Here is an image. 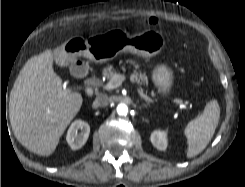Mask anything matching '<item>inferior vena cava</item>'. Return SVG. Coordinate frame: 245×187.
<instances>
[{
	"instance_id": "1",
	"label": "inferior vena cava",
	"mask_w": 245,
	"mask_h": 187,
	"mask_svg": "<svg viewBox=\"0 0 245 187\" xmlns=\"http://www.w3.org/2000/svg\"><path fill=\"white\" fill-rule=\"evenodd\" d=\"M110 103V98L107 95H99L95 99V105L97 107H105Z\"/></svg>"
}]
</instances>
